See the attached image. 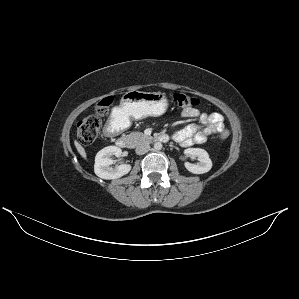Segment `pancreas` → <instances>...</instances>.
I'll return each instance as SVG.
<instances>
[{
  "label": "pancreas",
  "mask_w": 299,
  "mask_h": 299,
  "mask_svg": "<svg viewBox=\"0 0 299 299\" xmlns=\"http://www.w3.org/2000/svg\"><path fill=\"white\" fill-rule=\"evenodd\" d=\"M127 138L129 139L130 143L134 145L151 139V137L146 136L142 132H132L129 135H127Z\"/></svg>",
  "instance_id": "cf45deb5"
}]
</instances>
